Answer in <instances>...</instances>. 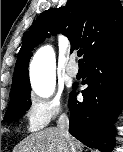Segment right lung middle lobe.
<instances>
[{"mask_svg":"<svg viewBox=\"0 0 123 152\" xmlns=\"http://www.w3.org/2000/svg\"><path fill=\"white\" fill-rule=\"evenodd\" d=\"M30 85H27L11 94L8 110L5 115V122L18 120L31 105Z\"/></svg>","mask_w":123,"mask_h":152,"instance_id":"obj_1","label":"right lung middle lobe"}]
</instances>
